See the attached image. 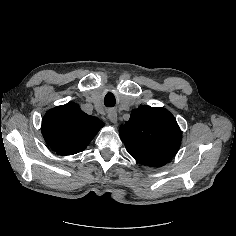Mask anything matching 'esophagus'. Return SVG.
<instances>
[{"label": "esophagus", "instance_id": "1", "mask_svg": "<svg viewBox=\"0 0 236 236\" xmlns=\"http://www.w3.org/2000/svg\"><path fill=\"white\" fill-rule=\"evenodd\" d=\"M108 119L113 123L117 124V113L115 110H111L108 113Z\"/></svg>", "mask_w": 236, "mask_h": 236}]
</instances>
